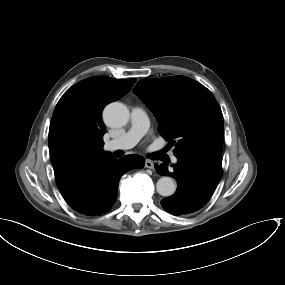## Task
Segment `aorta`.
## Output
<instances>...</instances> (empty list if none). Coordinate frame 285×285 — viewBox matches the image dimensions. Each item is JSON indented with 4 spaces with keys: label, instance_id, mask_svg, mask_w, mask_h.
I'll use <instances>...</instances> for the list:
<instances>
[{
    "label": "aorta",
    "instance_id": "762f6f07",
    "mask_svg": "<svg viewBox=\"0 0 285 285\" xmlns=\"http://www.w3.org/2000/svg\"><path fill=\"white\" fill-rule=\"evenodd\" d=\"M103 117L110 127H121L129 119V110L122 103L114 102L105 107ZM156 190L161 196L169 197L174 194L176 184L170 177H161L156 183Z\"/></svg>",
    "mask_w": 285,
    "mask_h": 285
}]
</instances>
